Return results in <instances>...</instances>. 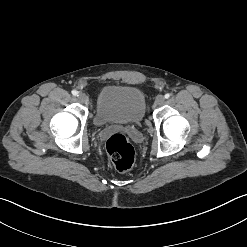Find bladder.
<instances>
[{
  "label": "bladder",
  "mask_w": 247,
  "mask_h": 247,
  "mask_svg": "<svg viewBox=\"0 0 247 247\" xmlns=\"http://www.w3.org/2000/svg\"><path fill=\"white\" fill-rule=\"evenodd\" d=\"M145 111V96L139 88L108 84L97 95L94 123L97 126L139 124L144 119Z\"/></svg>",
  "instance_id": "obj_1"
}]
</instances>
